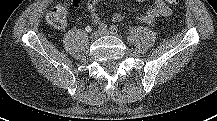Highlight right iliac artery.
Here are the masks:
<instances>
[{
    "label": "right iliac artery",
    "mask_w": 217,
    "mask_h": 121,
    "mask_svg": "<svg viewBox=\"0 0 217 121\" xmlns=\"http://www.w3.org/2000/svg\"><path fill=\"white\" fill-rule=\"evenodd\" d=\"M107 29V26L106 24L102 23L100 26H99V31H105Z\"/></svg>",
    "instance_id": "82829eb1"
}]
</instances>
